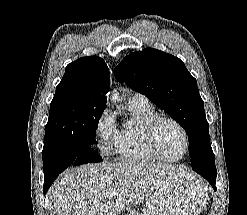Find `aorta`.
Returning <instances> with one entry per match:
<instances>
[{"mask_svg": "<svg viewBox=\"0 0 247 215\" xmlns=\"http://www.w3.org/2000/svg\"><path fill=\"white\" fill-rule=\"evenodd\" d=\"M112 99H118V94H117V93H114V94L112 95Z\"/></svg>", "mask_w": 247, "mask_h": 215, "instance_id": "1", "label": "aorta"}]
</instances>
